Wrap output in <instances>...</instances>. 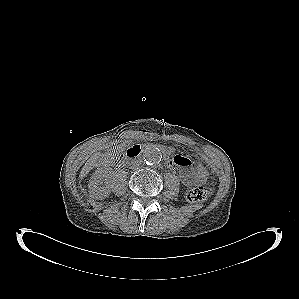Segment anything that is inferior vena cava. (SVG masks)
Listing matches in <instances>:
<instances>
[{"label":"inferior vena cava","mask_w":299,"mask_h":299,"mask_svg":"<svg viewBox=\"0 0 299 299\" xmlns=\"http://www.w3.org/2000/svg\"><path fill=\"white\" fill-rule=\"evenodd\" d=\"M139 166H140V162L138 160L131 162L132 169H137Z\"/></svg>","instance_id":"obj_1"}]
</instances>
